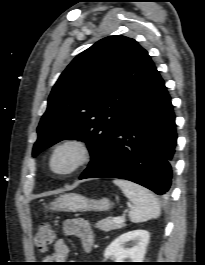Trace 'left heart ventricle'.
<instances>
[{"label": "left heart ventricle", "mask_w": 205, "mask_h": 265, "mask_svg": "<svg viewBox=\"0 0 205 265\" xmlns=\"http://www.w3.org/2000/svg\"><path fill=\"white\" fill-rule=\"evenodd\" d=\"M77 153L73 148L61 149L54 157L53 166L56 170L68 169L76 160Z\"/></svg>", "instance_id": "1"}]
</instances>
